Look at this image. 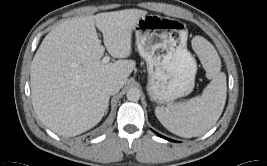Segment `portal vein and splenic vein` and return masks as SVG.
I'll use <instances>...</instances> for the list:
<instances>
[{
	"label": "portal vein and splenic vein",
	"instance_id": "18ae733b",
	"mask_svg": "<svg viewBox=\"0 0 267 166\" xmlns=\"http://www.w3.org/2000/svg\"><path fill=\"white\" fill-rule=\"evenodd\" d=\"M110 61V57L109 56H104L103 59H102V63L103 64H106Z\"/></svg>",
	"mask_w": 267,
	"mask_h": 166
}]
</instances>
